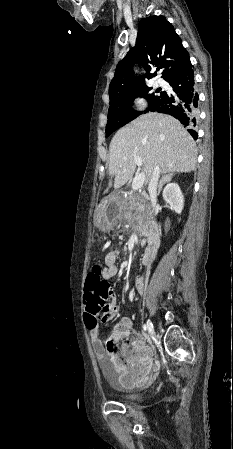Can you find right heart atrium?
Segmentation results:
<instances>
[{"mask_svg":"<svg viewBox=\"0 0 233 449\" xmlns=\"http://www.w3.org/2000/svg\"><path fill=\"white\" fill-rule=\"evenodd\" d=\"M132 103L136 111H143L147 108L148 102L146 98L140 94H136L132 98Z\"/></svg>","mask_w":233,"mask_h":449,"instance_id":"obj_1","label":"right heart atrium"}]
</instances>
